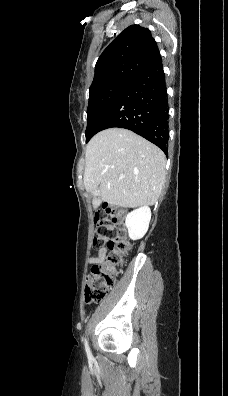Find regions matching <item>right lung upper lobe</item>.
Instances as JSON below:
<instances>
[{
  "mask_svg": "<svg viewBox=\"0 0 228 396\" xmlns=\"http://www.w3.org/2000/svg\"><path fill=\"white\" fill-rule=\"evenodd\" d=\"M160 56L150 30L131 25L103 51L90 89L112 82L131 83Z\"/></svg>",
  "mask_w": 228,
  "mask_h": 396,
  "instance_id": "cb5924a9",
  "label": "right lung upper lobe"
}]
</instances>
